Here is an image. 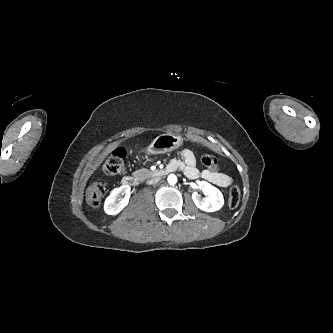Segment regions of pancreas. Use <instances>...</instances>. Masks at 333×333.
Masks as SVG:
<instances>
[{
    "instance_id": "obj_1",
    "label": "pancreas",
    "mask_w": 333,
    "mask_h": 333,
    "mask_svg": "<svg viewBox=\"0 0 333 333\" xmlns=\"http://www.w3.org/2000/svg\"><path fill=\"white\" fill-rule=\"evenodd\" d=\"M151 175H152L151 171L145 168L133 172V177L141 182L149 178Z\"/></svg>"
}]
</instances>
